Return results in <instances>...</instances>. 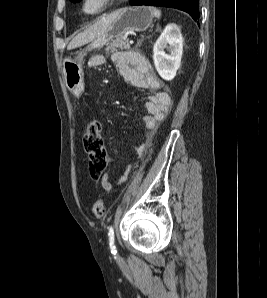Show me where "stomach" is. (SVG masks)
Instances as JSON below:
<instances>
[{"mask_svg":"<svg viewBox=\"0 0 267 298\" xmlns=\"http://www.w3.org/2000/svg\"><path fill=\"white\" fill-rule=\"evenodd\" d=\"M153 19L150 8L145 6L125 7L116 11V18L110 27L100 36L96 37L80 51L77 56H68L63 61V73L66 87L75 96L84 91L83 84V57L87 51L103 47L114 38L121 37L128 32H143L147 30Z\"/></svg>","mask_w":267,"mask_h":298,"instance_id":"stomach-1","label":"stomach"}]
</instances>
